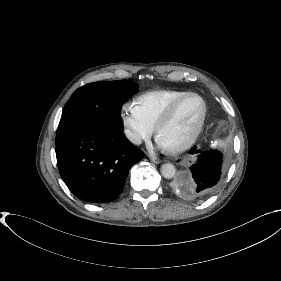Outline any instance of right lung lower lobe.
I'll return each mask as SVG.
<instances>
[{"instance_id": "right-lung-lower-lobe-1", "label": "right lung lower lobe", "mask_w": 281, "mask_h": 281, "mask_svg": "<svg viewBox=\"0 0 281 281\" xmlns=\"http://www.w3.org/2000/svg\"><path fill=\"white\" fill-rule=\"evenodd\" d=\"M59 173L79 199L108 203L123 191L130 168L144 153L121 128H89L56 136Z\"/></svg>"}]
</instances>
